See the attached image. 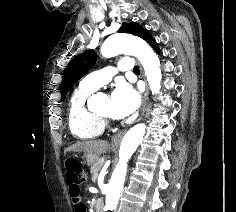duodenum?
<instances>
[{
	"label": "duodenum",
	"mask_w": 236,
	"mask_h": 212,
	"mask_svg": "<svg viewBox=\"0 0 236 212\" xmlns=\"http://www.w3.org/2000/svg\"><path fill=\"white\" fill-rule=\"evenodd\" d=\"M95 211L96 212H103V205L100 199L95 200Z\"/></svg>",
	"instance_id": "duodenum-1"
}]
</instances>
